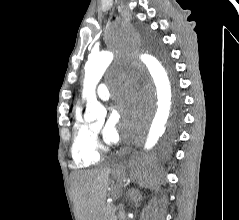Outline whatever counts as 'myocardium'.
<instances>
[{
  "mask_svg": "<svg viewBox=\"0 0 239 220\" xmlns=\"http://www.w3.org/2000/svg\"><path fill=\"white\" fill-rule=\"evenodd\" d=\"M94 132L97 133L96 130H94ZM99 149H100L101 151H107V147L104 146V145H102V144L99 145Z\"/></svg>",
  "mask_w": 239,
  "mask_h": 220,
  "instance_id": "f54148a6",
  "label": "myocardium"
}]
</instances>
